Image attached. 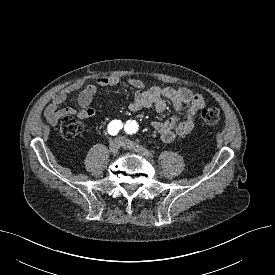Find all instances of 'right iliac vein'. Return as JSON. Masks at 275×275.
Here are the masks:
<instances>
[{
    "mask_svg": "<svg viewBox=\"0 0 275 275\" xmlns=\"http://www.w3.org/2000/svg\"><path fill=\"white\" fill-rule=\"evenodd\" d=\"M120 147H121L120 139H114L109 144V151L113 154H116V153H118Z\"/></svg>",
    "mask_w": 275,
    "mask_h": 275,
    "instance_id": "right-iliac-vein-1",
    "label": "right iliac vein"
}]
</instances>
